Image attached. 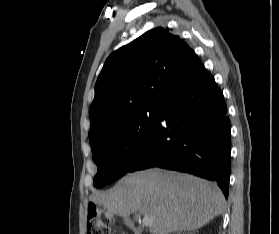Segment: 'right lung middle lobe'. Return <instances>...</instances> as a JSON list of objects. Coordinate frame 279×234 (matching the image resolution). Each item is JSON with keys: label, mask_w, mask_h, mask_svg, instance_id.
<instances>
[{"label": "right lung middle lobe", "mask_w": 279, "mask_h": 234, "mask_svg": "<svg viewBox=\"0 0 279 234\" xmlns=\"http://www.w3.org/2000/svg\"><path fill=\"white\" fill-rule=\"evenodd\" d=\"M159 112L160 108H150L127 115L108 134L90 143L98 167L95 187L110 184L129 172L146 148Z\"/></svg>", "instance_id": "right-lung-middle-lobe-1"}]
</instances>
